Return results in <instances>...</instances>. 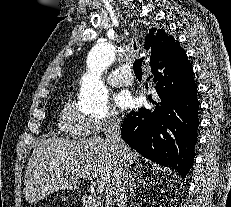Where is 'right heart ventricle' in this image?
<instances>
[{"mask_svg": "<svg viewBox=\"0 0 231 207\" xmlns=\"http://www.w3.org/2000/svg\"><path fill=\"white\" fill-rule=\"evenodd\" d=\"M59 130L71 138H85L92 134L90 118L83 114L73 100H67L60 111Z\"/></svg>", "mask_w": 231, "mask_h": 207, "instance_id": "right-heart-ventricle-1", "label": "right heart ventricle"}]
</instances>
